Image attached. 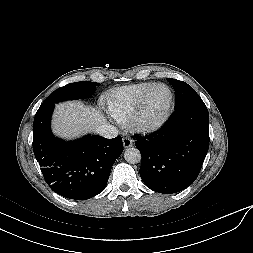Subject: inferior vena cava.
<instances>
[{"label":"inferior vena cava","instance_id":"obj_1","mask_svg":"<svg viewBox=\"0 0 253 253\" xmlns=\"http://www.w3.org/2000/svg\"><path fill=\"white\" fill-rule=\"evenodd\" d=\"M95 131L104 138H114L118 136V129L109 124V123H103L96 126Z\"/></svg>","mask_w":253,"mask_h":253}]
</instances>
